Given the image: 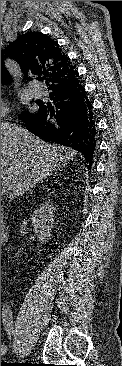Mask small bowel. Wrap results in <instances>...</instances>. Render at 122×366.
<instances>
[{
  "instance_id": "small-bowel-1",
  "label": "small bowel",
  "mask_w": 122,
  "mask_h": 366,
  "mask_svg": "<svg viewBox=\"0 0 122 366\" xmlns=\"http://www.w3.org/2000/svg\"><path fill=\"white\" fill-rule=\"evenodd\" d=\"M6 352V347L5 346H1V356L4 355Z\"/></svg>"
}]
</instances>
